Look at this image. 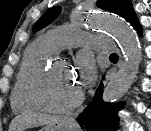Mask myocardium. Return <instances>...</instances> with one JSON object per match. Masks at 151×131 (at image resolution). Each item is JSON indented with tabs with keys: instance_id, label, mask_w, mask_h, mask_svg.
<instances>
[{
	"instance_id": "1",
	"label": "myocardium",
	"mask_w": 151,
	"mask_h": 131,
	"mask_svg": "<svg viewBox=\"0 0 151 131\" xmlns=\"http://www.w3.org/2000/svg\"><path fill=\"white\" fill-rule=\"evenodd\" d=\"M57 63L67 66L64 60L55 56H50L38 67L30 80L29 94L37 108L46 112L59 114L77 108L83 100V92L80 90L73 99L60 105L52 104L45 99L42 92V83Z\"/></svg>"
}]
</instances>
